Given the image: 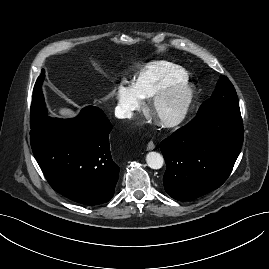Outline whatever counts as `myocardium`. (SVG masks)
I'll list each match as a JSON object with an SVG mask.
<instances>
[{"label":"myocardium","instance_id":"1","mask_svg":"<svg viewBox=\"0 0 269 269\" xmlns=\"http://www.w3.org/2000/svg\"><path fill=\"white\" fill-rule=\"evenodd\" d=\"M177 98L179 107L177 112L168 118H158L155 116L157 108L165 101ZM194 100V88L188 82H181L172 85L155 95H153L148 104L150 115L154 116L157 123L163 128H174L179 126L187 117Z\"/></svg>","mask_w":269,"mask_h":269}]
</instances>
